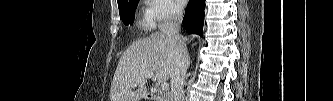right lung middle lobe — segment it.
Returning a JSON list of instances; mask_svg holds the SVG:
<instances>
[{"label":"right lung middle lobe","mask_w":333,"mask_h":101,"mask_svg":"<svg viewBox=\"0 0 333 101\" xmlns=\"http://www.w3.org/2000/svg\"><path fill=\"white\" fill-rule=\"evenodd\" d=\"M139 0H122L118 3L120 18L125 25L133 24L134 11Z\"/></svg>","instance_id":"obj_1"}]
</instances>
